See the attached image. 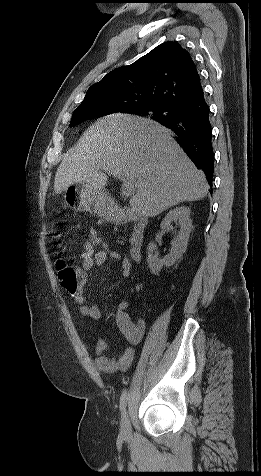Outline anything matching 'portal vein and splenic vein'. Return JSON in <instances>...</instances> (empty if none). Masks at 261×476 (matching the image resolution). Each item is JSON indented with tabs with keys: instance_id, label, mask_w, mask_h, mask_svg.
I'll list each match as a JSON object with an SVG mask.
<instances>
[{
	"instance_id": "1",
	"label": "portal vein and splenic vein",
	"mask_w": 261,
	"mask_h": 476,
	"mask_svg": "<svg viewBox=\"0 0 261 476\" xmlns=\"http://www.w3.org/2000/svg\"><path fill=\"white\" fill-rule=\"evenodd\" d=\"M111 174L123 182V194L125 197H129L134 193L135 186L129 177L123 176L118 172H111Z\"/></svg>"
}]
</instances>
